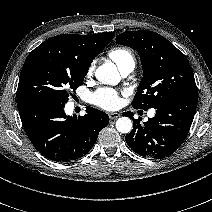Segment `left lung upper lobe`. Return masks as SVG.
Instances as JSON below:
<instances>
[{"instance_id":"obj_1","label":"left lung upper lobe","mask_w":212,"mask_h":212,"mask_svg":"<svg viewBox=\"0 0 212 212\" xmlns=\"http://www.w3.org/2000/svg\"><path fill=\"white\" fill-rule=\"evenodd\" d=\"M116 41L135 49L141 58L144 75L132 102L135 109L156 108L177 96L197 95L189 61L166 38L142 30L123 32Z\"/></svg>"}]
</instances>
